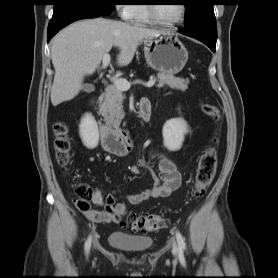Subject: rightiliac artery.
<instances>
[{
  "label": "right iliac artery",
  "instance_id": "obj_1",
  "mask_svg": "<svg viewBox=\"0 0 278 278\" xmlns=\"http://www.w3.org/2000/svg\"><path fill=\"white\" fill-rule=\"evenodd\" d=\"M90 246H91V236H89L87 241L85 242V252H86V254L89 253Z\"/></svg>",
  "mask_w": 278,
  "mask_h": 278
}]
</instances>
